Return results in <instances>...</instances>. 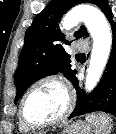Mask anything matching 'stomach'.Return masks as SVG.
<instances>
[{
  "label": "stomach",
  "instance_id": "obj_1",
  "mask_svg": "<svg viewBox=\"0 0 116 134\" xmlns=\"http://www.w3.org/2000/svg\"><path fill=\"white\" fill-rule=\"evenodd\" d=\"M91 125L85 121L67 124L59 134H92Z\"/></svg>",
  "mask_w": 116,
  "mask_h": 134
}]
</instances>
